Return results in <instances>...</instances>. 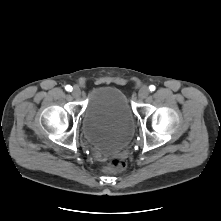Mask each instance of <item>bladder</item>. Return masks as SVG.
Here are the masks:
<instances>
[{
	"instance_id": "obj_1",
	"label": "bladder",
	"mask_w": 221,
	"mask_h": 221,
	"mask_svg": "<svg viewBox=\"0 0 221 221\" xmlns=\"http://www.w3.org/2000/svg\"><path fill=\"white\" fill-rule=\"evenodd\" d=\"M81 127L84 138L94 150L112 155L131 140L135 128L134 113L119 88L100 85L88 95Z\"/></svg>"
}]
</instances>
